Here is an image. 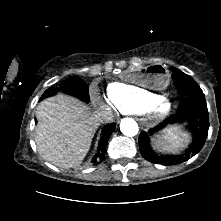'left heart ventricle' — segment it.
Returning a JSON list of instances; mask_svg holds the SVG:
<instances>
[{"mask_svg": "<svg viewBox=\"0 0 221 221\" xmlns=\"http://www.w3.org/2000/svg\"><path fill=\"white\" fill-rule=\"evenodd\" d=\"M168 108V104L167 103H164V104H162V106H161V110H166Z\"/></svg>", "mask_w": 221, "mask_h": 221, "instance_id": "b2bd125f", "label": "left heart ventricle"}]
</instances>
